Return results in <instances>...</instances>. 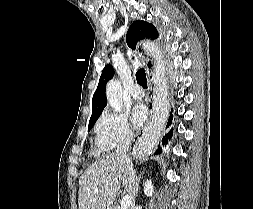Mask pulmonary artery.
I'll list each match as a JSON object with an SVG mask.
<instances>
[{
    "mask_svg": "<svg viewBox=\"0 0 253 209\" xmlns=\"http://www.w3.org/2000/svg\"><path fill=\"white\" fill-rule=\"evenodd\" d=\"M131 95L134 99L140 100L144 97V92L142 88L139 85H134L132 90H131Z\"/></svg>",
    "mask_w": 253,
    "mask_h": 209,
    "instance_id": "pulmonary-artery-1",
    "label": "pulmonary artery"
}]
</instances>
